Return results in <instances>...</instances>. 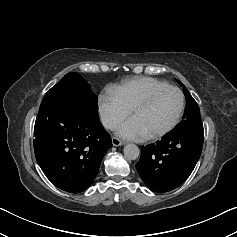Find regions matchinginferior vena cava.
Returning a JSON list of instances; mask_svg holds the SVG:
<instances>
[{"instance_id":"obj_1","label":"inferior vena cava","mask_w":237,"mask_h":237,"mask_svg":"<svg viewBox=\"0 0 237 237\" xmlns=\"http://www.w3.org/2000/svg\"><path fill=\"white\" fill-rule=\"evenodd\" d=\"M101 123L105 128L110 129V130H113L117 127V121L108 116H102Z\"/></svg>"}]
</instances>
